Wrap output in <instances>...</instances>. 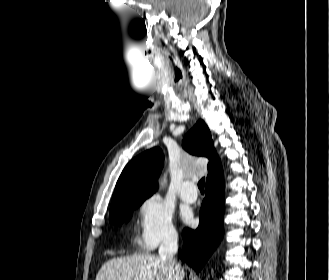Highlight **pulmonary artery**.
<instances>
[{
    "label": "pulmonary artery",
    "mask_w": 329,
    "mask_h": 280,
    "mask_svg": "<svg viewBox=\"0 0 329 280\" xmlns=\"http://www.w3.org/2000/svg\"><path fill=\"white\" fill-rule=\"evenodd\" d=\"M180 197L183 201L193 203L198 198L197 187L194 180H186L180 188Z\"/></svg>",
    "instance_id": "pulmonary-artery-1"
}]
</instances>
